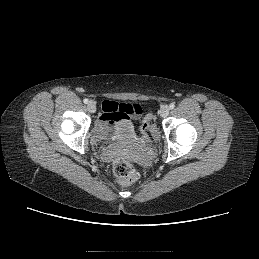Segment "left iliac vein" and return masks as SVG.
<instances>
[{
	"mask_svg": "<svg viewBox=\"0 0 259 259\" xmlns=\"http://www.w3.org/2000/svg\"><path fill=\"white\" fill-rule=\"evenodd\" d=\"M169 112H170V108L167 105H163L159 111L161 117H167Z\"/></svg>",
	"mask_w": 259,
	"mask_h": 259,
	"instance_id": "obj_1",
	"label": "left iliac vein"
}]
</instances>
